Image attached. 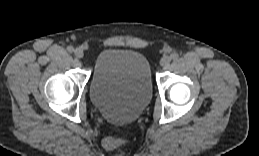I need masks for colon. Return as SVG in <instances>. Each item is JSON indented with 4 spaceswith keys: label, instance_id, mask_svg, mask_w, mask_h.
I'll use <instances>...</instances> for the list:
<instances>
[{
    "label": "colon",
    "instance_id": "1",
    "mask_svg": "<svg viewBox=\"0 0 259 156\" xmlns=\"http://www.w3.org/2000/svg\"><path fill=\"white\" fill-rule=\"evenodd\" d=\"M128 139L126 136H110L105 138L104 146L107 149H116L127 143Z\"/></svg>",
    "mask_w": 259,
    "mask_h": 156
}]
</instances>
